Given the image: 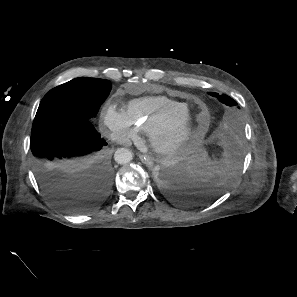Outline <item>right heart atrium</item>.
<instances>
[{"label":"right heart atrium","mask_w":297,"mask_h":297,"mask_svg":"<svg viewBox=\"0 0 297 297\" xmlns=\"http://www.w3.org/2000/svg\"><path fill=\"white\" fill-rule=\"evenodd\" d=\"M102 126L109 137L120 144L135 142L140 138L139 129L132 122L127 112L113 104L105 106L102 113Z\"/></svg>","instance_id":"right-heart-atrium-1"}]
</instances>
